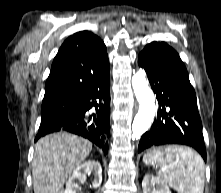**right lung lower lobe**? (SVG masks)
Wrapping results in <instances>:
<instances>
[{
    "label": "right lung lower lobe",
    "mask_w": 221,
    "mask_h": 193,
    "mask_svg": "<svg viewBox=\"0 0 221 193\" xmlns=\"http://www.w3.org/2000/svg\"><path fill=\"white\" fill-rule=\"evenodd\" d=\"M92 107L96 108V114L89 113ZM58 131L83 136L102 148L104 154H107L110 135L109 62L75 97L71 112L48 124L40 125L35 141Z\"/></svg>",
    "instance_id": "right-lung-lower-lobe-1"
}]
</instances>
